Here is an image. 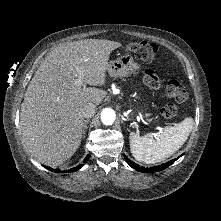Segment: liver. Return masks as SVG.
<instances>
[{
	"instance_id": "liver-1",
	"label": "liver",
	"mask_w": 221,
	"mask_h": 221,
	"mask_svg": "<svg viewBox=\"0 0 221 221\" xmlns=\"http://www.w3.org/2000/svg\"><path fill=\"white\" fill-rule=\"evenodd\" d=\"M121 43L105 39H84L57 46L40 64L30 81L21 105L23 141L42 164L56 167L68 160L81 143L84 120L82 108L99 105L106 92L75 85L83 81L103 86L111 52Z\"/></svg>"
}]
</instances>
